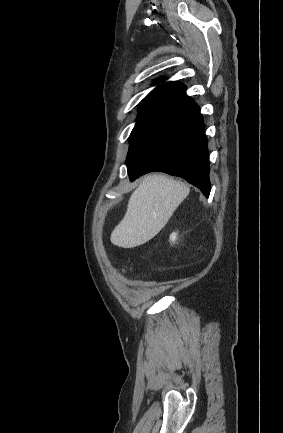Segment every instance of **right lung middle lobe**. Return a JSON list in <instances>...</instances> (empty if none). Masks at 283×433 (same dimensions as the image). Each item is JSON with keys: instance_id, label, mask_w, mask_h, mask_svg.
Instances as JSON below:
<instances>
[{"instance_id": "1", "label": "right lung middle lobe", "mask_w": 283, "mask_h": 433, "mask_svg": "<svg viewBox=\"0 0 283 433\" xmlns=\"http://www.w3.org/2000/svg\"><path fill=\"white\" fill-rule=\"evenodd\" d=\"M158 116H160V114H158V113L139 111L138 117H137V123L131 132V135L129 137V142L131 143L136 138V136L141 132V130L148 123H150L152 120H154Z\"/></svg>"}]
</instances>
